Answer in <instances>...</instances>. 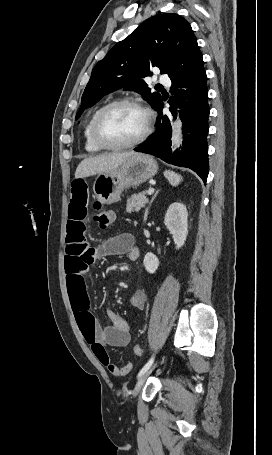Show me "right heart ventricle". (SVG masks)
<instances>
[{"instance_id":"e07e8e85","label":"right heart ventricle","mask_w":272,"mask_h":455,"mask_svg":"<svg viewBox=\"0 0 272 455\" xmlns=\"http://www.w3.org/2000/svg\"><path fill=\"white\" fill-rule=\"evenodd\" d=\"M95 113H96V111L93 112L92 115L89 117V119L85 125V128H84L85 149H86V151H88L90 153H99V152L103 151V149L98 147L93 142L92 137H91L90 128H91V122H92V119H93Z\"/></svg>"}]
</instances>
